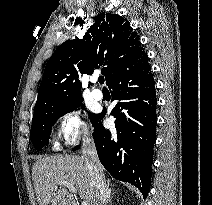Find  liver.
<instances>
[{
	"instance_id": "obj_1",
	"label": "liver",
	"mask_w": 212,
	"mask_h": 205,
	"mask_svg": "<svg viewBox=\"0 0 212 205\" xmlns=\"http://www.w3.org/2000/svg\"><path fill=\"white\" fill-rule=\"evenodd\" d=\"M34 188L39 205H77L68 182L79 192L81 199L93 205L90 173L83 156L56 155L38 159L32 168Z\"/></svg>"
}]
</instances>
